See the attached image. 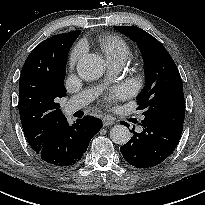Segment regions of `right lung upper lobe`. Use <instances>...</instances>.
Instances as JSON below:
<instances>
[{
  "mask_svg": "<svg viewBox=\"0 0 205 205\" xmlns=\"http://www.w3.org/2000/svg\"><path fill=\"white\" fill-rule=\"evenodd\" d=\"M80 32L58 34L41 42L22 68L19 113L25 137L35 152L66 120L57 101L66 95L63 83L68 52Z\"/></svg>",
  "mask_w": 205,
  "mask_h": 205,
  "instance_id": "cb5924a9",
  "label": "right lung upper lobe"
}]
</instances>
